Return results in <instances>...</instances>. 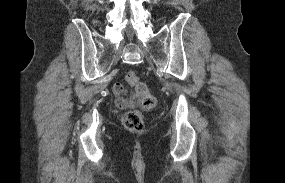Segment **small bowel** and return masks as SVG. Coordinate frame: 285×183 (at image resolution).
I'll return each mask as SVG.
<instances>
[{
    "instance_id": "1",
    "label": "small bowel",
    "mask_w": 285,
    "mask_h": 183,
    "mask_svg": "<svg viewBox=\"0 0 285 183\" xmlns=\"http://www.w3.org/2000/svg\"><path fill=\"white\" fill-rule=\"evenodd\" d=\"M113 94L116 97V104L120 108H126L131 105V99L127 96V91L124 83L117 82L113 86Z\"/></svg>"
}]
</instances>
